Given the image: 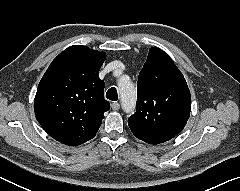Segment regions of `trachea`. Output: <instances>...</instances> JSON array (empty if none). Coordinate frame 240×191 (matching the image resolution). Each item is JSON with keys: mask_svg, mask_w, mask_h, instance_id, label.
Returning a JSON list of instances; mask_svg holds the SVG:
<instances>
[{"mask_svg": "<svg viewBox=\"0 0 240 191\" xmlns=\"http://www.w3.org/2000/svg\"><path fill=\"white\" fill-rule=\"evenodd\" d=\"M106 98L111 101H117L118 93H117L116 88H114V87L110 88L106 93Z\"/></svg>", "mask_w": 240, "mask_h": 191, "instance_id": "obj_1", "label": "trachea"}]
</instances>
